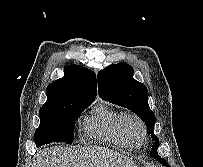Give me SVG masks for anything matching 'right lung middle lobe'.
Instances as JSON below:
<instances>
[{
	"label": "right lung middle lobe",
	"instance_id": "1",
	"mask_svg": "<svg viewBox=\"0 0 203 167\" xmlns=\"http://www.w3.org/2000/svg\"><path fill=\"white\" fill-rule=\"evenodd\" d=\"M94 100H75L59 107L40 109V125L35 131V144L39 147L52 142L72 143L75 120Z\"/></svg>",
	"mask_w": 203,
	"mask_h": 167
}]
</instances>
